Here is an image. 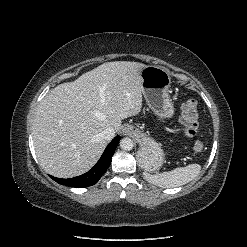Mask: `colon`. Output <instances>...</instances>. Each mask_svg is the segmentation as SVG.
<instances>
[{
  "label": "colon",
  "mask_w": 247,
  "mask_h": 247,
  "mask_svg": "<svg viewBox=\"0 0 247 247\" xmlns=\"http://www.w3.org/2000/svg\"><path fill=\"white\" fill-rule=\"evenodd\" d=\"M199 124V114L197 101L194 98H189L181 105L180 126L182 131L192 136L196 133ZM204 150V143L201 140H196L193 144V151L197 154Z\"/></svg>",
  "instance_id": "5ec220e1"
}]
</instances>
